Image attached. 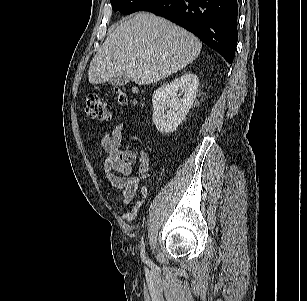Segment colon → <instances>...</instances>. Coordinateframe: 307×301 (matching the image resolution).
Returning <instances> with one entry per match:
<instances>
[{
  "label": "colon",
  "instance_id": "1",
  "mask_svg": "<svg viewBox=\"0 0 307 301\" xmlns=\"http://www.w3.org/2000/svg\"><path fill=\"white\" fill-rule=\"evenodd\" d=\"M116 100L120 105H127L135 101L134 94L117 91ZM86 114L97 121L107 122L110 120V111L106 103L97 94H88L86 97ZM137 158L132 151H126L122 155L125 162H133Z\"/></svg>",
  "mask_w": 307,
  "mask_h": 301
}]
</instances>
